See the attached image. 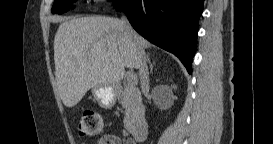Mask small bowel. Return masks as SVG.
<instances>
[{
	"label": "small bowel",
	"instance_id": "small-bowel-1",
	"mask_svg": "<svg viewBox=\"0 0 273 144\" xmlns=\"http://www.w3.org/2000/svg\"><path fill=\"white\" fill-rule=\"evenodd\" d=\"M97 144H120V143H132L129 140H122L115 136L105 135L100 137L97 142Z\"/></svg>",
	"mask_w": 273,
	"mask_h": 144
}]
</instances>
